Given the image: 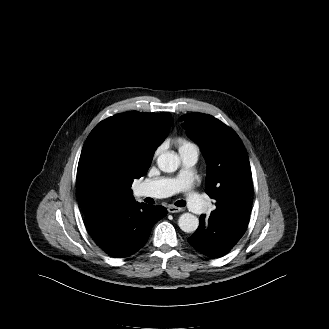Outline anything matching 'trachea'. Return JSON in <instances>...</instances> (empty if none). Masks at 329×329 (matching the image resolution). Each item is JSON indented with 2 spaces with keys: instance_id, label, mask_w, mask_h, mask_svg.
<instances>
[{
  "instance_id": "3493384b",
  "label": "trachea",
  "mask_w": 329,
  "mask_h": 329,
  "mask_svg": "<svg viewBox=\"0 0 329 329\" xmlns=\"http://www.w3.org/2000/svg\"><path fill=\"white\" fill-rule=\"evenodd\" d=\"M175 205L178 207H184L186 204H185V201L179 200V201L175 202Z\"/></svg>"
}]
</instances>
